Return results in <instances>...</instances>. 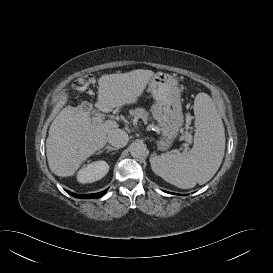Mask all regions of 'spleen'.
Wrapping results in <instances>:
<instances>
[{"mask_svg": "<svg viewBox=\"0 0 273 273\" xmlns=\"http://www.w3.org/2000/svg\"><path fill=\"white\" fill-rule=\"evenodd\" d=\"M194 114L196 132L192 149L154 156L150 160L158 176L182 189L208 182L219 169L225 153L223 122L209 95L196 96Z\"/></svg>", "mask_w": 273, "mask_h": 273, "instance_id": "3e777b00", "label": "spleen"}]
</instances>
